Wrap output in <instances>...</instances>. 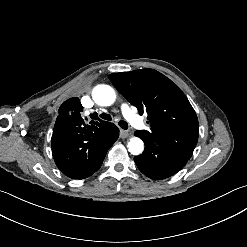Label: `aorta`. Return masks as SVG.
I'll use <instances>...</instances> for the list:
<instances>
[{
    "mask_svg": "<svg viewBox=\"0 0 247 247\" xmlns=\"http://www.w3.org/2000/svg\"><path fill=\"white\" fill-rule=\"evenodd\" d=\"M93 100L100 106H110L116 99L115 91L109 85H98L92 92ZM128 150L134 155H139L144 150V143L138 137H132L127 144Z\"/></svg>",
    "mask_w": 247,
    "mask_h": 247,
    "instance_id": "1",
    "label": "aorta"
}]
</instances>
